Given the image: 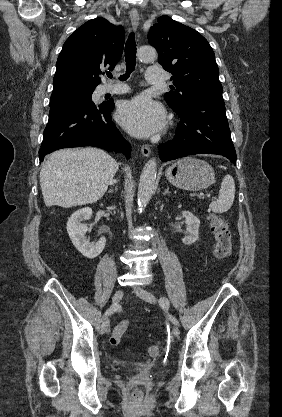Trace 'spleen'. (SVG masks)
Instances as JSON below:
<instances>
[{"label":"spleen","mask_w":282,"mask_h":417,"mask_svg":"<svg viewBox=\"0 0 282 417\" xmlns=\"http://www.w3.org/2000/svg\"><path fill=\"white\" fill-rule=\"evenodd\" d=\"M235 196V182L231 174H225L221 188L219 190L218 200L210 202V209L213 213H226L231 209Z\"/></svg>","instance_id":"obj_1"}]
</instances>
